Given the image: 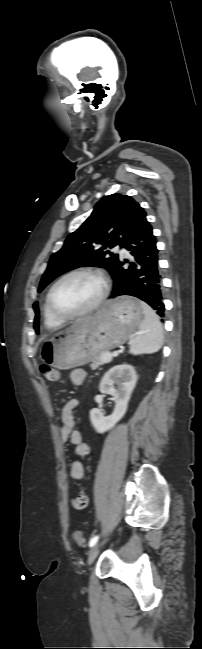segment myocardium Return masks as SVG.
I'll use <instances>...</instances> for the list:
<instances>
[{
  "instance_id": "obj_1",
  "label": "myocardium",
  "mask_w": 202,
  "mask_h": 649,
  "mask_svg": "<svg viewBox=\"0 0 202 649\" xmlns=\"http://www.w3.org/2000/svg\"><path fill=\"white\" fill-rule=\"evenodd\" d=\"M77 274H87L96 277L101 283V292L97 297V299L84 310L72 314H65L59 311L54 305L53 294L57 286L63 280ZM109 291H110V281L108 276L103 270L94 267H79L64 273L53 283V285L50 287L47 293L46 301H47L48 309L53 317L61 321H70L88 315L93 311H95L96 309H98L105 301V299L108 297Z\"/></svg>"
}]
</instances>
